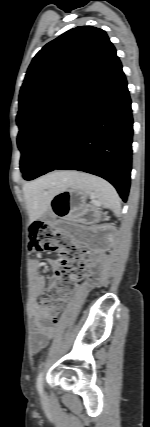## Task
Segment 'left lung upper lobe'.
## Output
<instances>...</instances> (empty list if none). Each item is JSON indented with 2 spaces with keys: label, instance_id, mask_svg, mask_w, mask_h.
I'll return each mask as SVG.
<instances>
[{
  "label": "left lung upper lobe",
  "instance_id": "1",
  "mask_svg": "<svg viewBox=\"0 0 150 427\" xmlns=\"http://www.w3.org/2000/svg\"><path fill=\"white\" fill-rule=\"evenodd\" d=\"M115 56L107 34L92 26L73 28L36 54L19 95L17 144L22 173L49 125Z\"/></svg>",
  "mask_w": 150,
  "mask_h": 427
}]
</instances>
